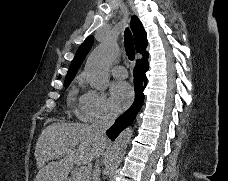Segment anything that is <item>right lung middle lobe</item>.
<instances>
[{"instance_id":"1","label":"right lung middle lobe","mask_w":228,"mask_h":181,"mask_svg":"<svg viewBox=\"0 0 228 181\" xmlns=\"http://www.w3.org/2000/svg\"><path fill=\"white\" fill-rule=\"evenodd\" d=\"M72 80H69V81H65L64 82V86L67 88L69 86V84L71 83Z\"/></svg>"}]
</instances>
